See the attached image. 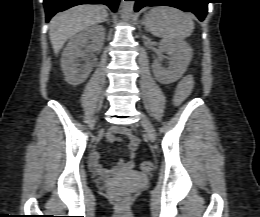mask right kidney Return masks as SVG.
<instances>
[{
	"label": "right kidney",
	"mask_w": 260,
	"mask_h": 217,
	"mask_svg": "<svg viewBox=\"0 0 260 217\" xmlns=\"http://www.w3.org/2000/svg\"><path fill=\"white\" fill-rule=\"evenodd\" d=\"M104 38L105 28L101 25H92L71 37L61 59V67L69 84L79 85L88 78L92 66L89 63H81L85 60V52L82 49L88 48L91 51H98Z\"/></svg>",
	"instance_id": "ca27d5eb"
}]
</instances>
